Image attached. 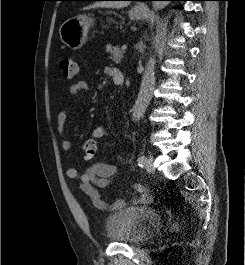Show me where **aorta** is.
Returning a JSON list of instances; mask_svg holds the SVG:
<instances>
[{
  "label": "aorta",
  "instance_id": "aorta-1",
  "mask_svg": "<svg viewBox=\"0 0 245 265\" xmlns=\"http://www.w3.org/2000/svg\"><path fill=\"white\" fill-rule=\"evenodd\" d=\"M167 4V1H154L153 8L155 10H160L163 9ZM155 62V58L150 57L145 66V70L142 75L140 90L132 110L133 120L135 121H138L143 117L152 99L156 81Z\"/></svg>",
  "mask_w": 245,
  "mask_h": 265
}]
</instances>
